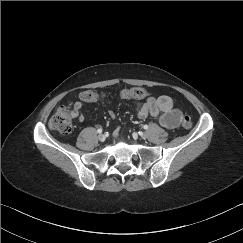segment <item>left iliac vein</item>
<instances>
[{
	"label": "left iliac vein",
	"instance_id": "left-iliac-vein-1",
	"mask_svg": "<svg viewBox=\"0 0 243 243\" xmlns=\"http://www.w3.org/2000/svg\"><path fill=\"white\" fill-rule=\"evenodd\" d=\"M140 136H141V138H146L147 137L146 133H141Z\"/></svg>",
	"mask_w": 243,
	"mask_h": 243
}]
</instances>
